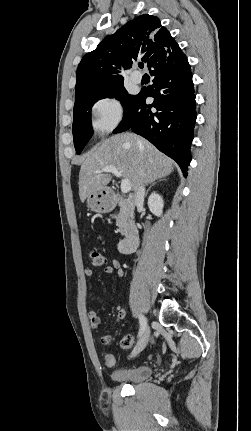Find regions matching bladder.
I'll use <instances>...</instances> for the list:
<instances>
[{
    "mask_svg": "<svg viewBox=\"0 0 251 431\" xmlns=\"http://www.w3.org/2000/svg\"><path fill=\"white\" fill-rule=\"evenodd\" d=\"M152 374V368L148 365H138L130 368L114 370L111 373L112 380L116 382L136 383L147 379Z\"/></svg>",
    "mask_w": 251,
    "mask_h": 431,
    "instance_id": "bladder-1",
    "label": "bladder"
}]
</instances>
